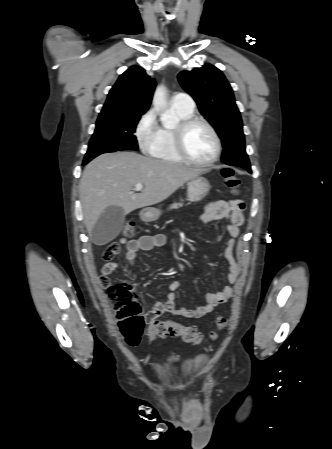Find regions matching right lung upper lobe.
Listing matches in <instances>:
<instances>
[{
  "mask_svg": "<svg viewBox=\"0 0 332 449\" xmlns=\"http://www.w3.org/2000/svg\"><path fill=\"white\" fill-rule=\"evenodd\" d=\"M156 82L143 68L132 66L120 75L109 91L99 116L144 114L151 103Z\"/></svg>",
  "mask_w": 332,
  "mask_h": 449,
  "instance_id": "1",
  "label": "right lung upper lobe"
}]
</instances>
